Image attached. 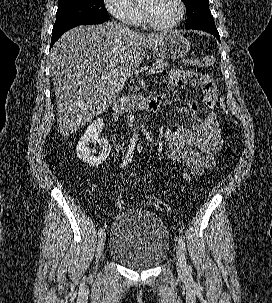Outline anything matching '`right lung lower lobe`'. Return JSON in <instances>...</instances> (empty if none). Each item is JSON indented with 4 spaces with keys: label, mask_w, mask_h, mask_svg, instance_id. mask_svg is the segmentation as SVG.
<instances>
[{
    "label": "right lung lower lobe",
    "mask_w": 272,
    "mask_h": 303,
    "mask_svg": "<svg viewBox=\"0 0 272 303\" xmlns=\"http://www.w3.org/2000/svg\"><path fill=\"white\" fill-rule=\"evenodd\" d=\"M103 22L101 21H80V22H76V23H72L66 26H63L61 28L58 29H53L52 30V40H51V45L50 47L53 46V44L61 37V35L66 32L67 30L75 27V26H79V25H91V24H101Z\"/></svg>",
    "instance_id": "obj_1"
}]
</instances>
